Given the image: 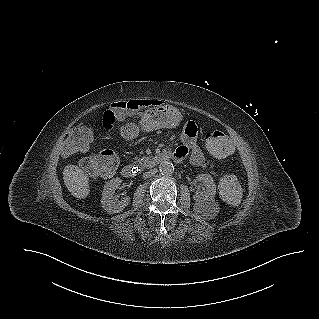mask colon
Masks as SVG:
<instances>
[{
  "instance_id": "5ec220e1",
  "label": "colon",
  "mask_w": 319,
  "mask_h": 319,
  "mask_svg": "<svg viewBox=\"0 0 319 319\" xmlns=\"http://www.w3.org/2000/svg\"><path fill=\"white\" fill-rule=\"evenodd\" d=\"M141 138V129L135 124H128L122 131H117L113 135V142L117 146H124L125 144L135 145ZM90 139L91 132L88 128L77 129L66 140L63 151L67 155L81 151L87 147ZM207 151L213 161L219 163L226 162L233 155V142L228 136L221 132H210L207 136ZM117 165V155L110 149H104L89 158L84 169L91 176L108 177L112 175ZM220 194L222 198L228 202L238 201L241 196L239 180L233 175L223 176L220 181Z\"/></svg>"
}]
</instances>
